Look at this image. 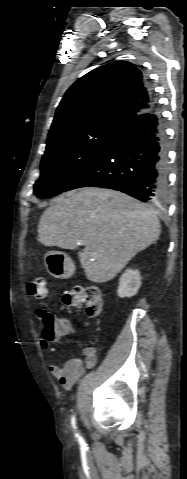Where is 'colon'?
Instances as JSON below:
<instances>
[{
	"mask_svg": "<svg viewBox=\"0 0 187 479\" xmlns=\"http://www.w3.org/2000/svg\"><path fill=\"white\" fill-rule=\"evenodd\" d=\"M28 294L37 299H46L48 289L44 277H36L27 285ZM63 303L69 308L84 309L88 317H97L103 308L102 295L95 286H71L63 294ZM43 325L42 337L57 340L63 336L64 326L54 315L42 310L38 313Z\"/></svg>",
	"mask_w": 187,
	"mask_h": 479,
	"instance_id": "1",
	"label": "colon"
}]
</instances>
